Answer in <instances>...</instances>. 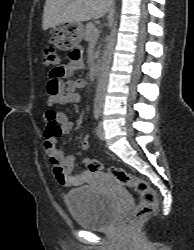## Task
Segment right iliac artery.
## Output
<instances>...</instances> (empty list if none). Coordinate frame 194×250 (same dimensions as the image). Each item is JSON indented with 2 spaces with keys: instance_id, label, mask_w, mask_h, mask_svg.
I'll list each match as a JSON object with an SVG mask.
<instances>
[{
  "instance_id": "1",
  "label": "right iliac artery",
  "mask_w": 194,
  "mask_h": 250,
  "mask_svg": "<svg viewBox=\"0 0 194 250\" xmlns=\"http://www.w3.org/2000/svg\"><path fill=\"white\" fill-rule=\"evenodd\" d=\"M99 117H100V114H99V113H95L94 118H95L96 120H98Z\"/></svg>"
}]
</instances>
